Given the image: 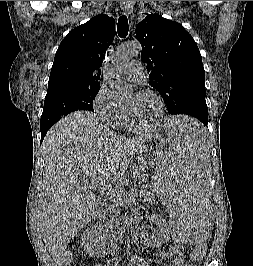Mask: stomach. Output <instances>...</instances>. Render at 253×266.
Returning <instances> with one entry per match:
<instances>
[{"label":"stomach","mask_w":253,"mask_h":266,"mask_svg":"<svg viewBox=\"0 0 253 266\" xmlns=\"http://www.w3.org/2000/svg\"><path fill=\"white\" fill-rule=\"evenodd\" d=\"M166 141L158 136L150 138L137 152V159L146 169L153 168V161L159 160L158 151L163 150Z\"/></svg>","instance_id":"1"}]
</instances>
